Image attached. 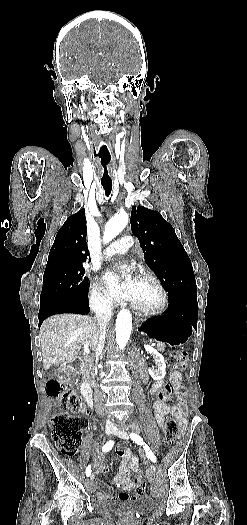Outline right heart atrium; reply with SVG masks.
<instances>
[{
	"label": "right heart atrium",
	"mask_w": 247,
	"mask_h": 525,
	"mask_svg": "<svg viewBox=\"0 0 247 525\" xmlns=\"http://www.w3.org/2000/svg\"><path fill=\"white\" fill-rule=\"evenodd\" d=\"M89 300L91 307L98 311L108 310L112 306L110 296L103 290L97 278L91 282Z\"/></svg>",
	"instance_id": "obj_1"
}]
</instances>
